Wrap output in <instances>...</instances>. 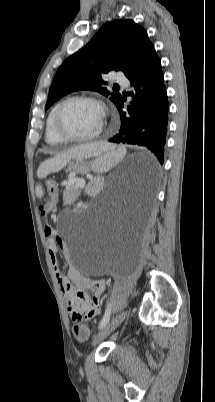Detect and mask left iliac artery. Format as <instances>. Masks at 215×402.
Listing matches in <instances>:
<instances>
[{
	"label": "left iliac artery",
	"instance_id": "obj_1",
	"mask_svg": "<svg viewBox=\"0 0 215 402\" xmlns=\"http://www.w3.org/2000/svg\"><path fill=\"white\" fill-rule=\"evenodd\" d=\"M110 315H111V306H110V303H108L105 314H104L102 320L100 321L99 329H102L103 327H105L107 325V323L110 320Z\"/></svg>",
	"mask_w": 215,
	"mask_h": 402
}]
</instances>
